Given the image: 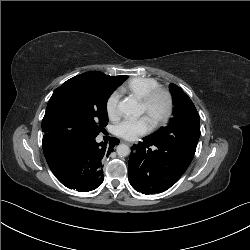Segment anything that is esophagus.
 I'll use <instances>...</instances> for the list:
<instances>
[{"label":"esophagus","instance_id":"34e87169","mask_svg":"<svg viewBox=\"0 0 250 250\" xmlns=\"http://www.w3.org/2000/svg\"><path fill=\"white\" fill-rule=\"evenodd\" d=\"M127 145H129V146H131V143H129V142H125Z\"/></svg>","mask_w":250,"mask_h":250}]
</instances>
